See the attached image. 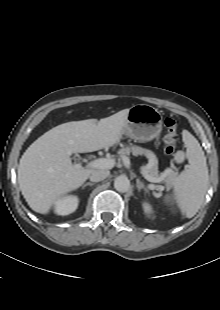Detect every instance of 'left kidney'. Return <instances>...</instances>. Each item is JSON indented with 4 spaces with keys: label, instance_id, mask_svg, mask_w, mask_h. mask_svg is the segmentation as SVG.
<instances>
[{
    "label": "left kidney",
    "instance_id": "1",
    "mask_svg": "<svg viewBox=\"0 0 220 310\" xmlns=\"http://www.w3.org/2000/svg\"><path fill=\"white\" fill-rule=\"evenodd\" d=\"M144 212L149 214L151 213L152 209L151 206L148 203H143Z\"/></svg>",
    "mask_w": 220,
    "mask_h": 310
}]
</instances>
